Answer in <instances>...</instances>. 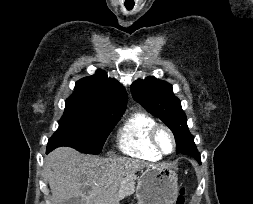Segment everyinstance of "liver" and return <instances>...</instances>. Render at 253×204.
Returning a JSON list of instances; mask_svg holds the SVG:
<instances>
[{
    "instance_id": "1",
    "label": "liver",
    "mask_w": 253,
    "mask_h": 204,
    "mask_svg": "<svg viewBox=\"0 0 253 204\" xmlns=\"http://www.w3.org/2000/svg\"><path fill=\"white\" fill-rule=\"evenodd\" d=\"M149 166L129 157L102 158L60 147L45 159L52 204L80 198V204H118L123 178Z\"/></svg>"
}]
</instances>
